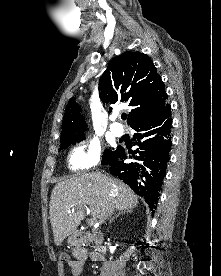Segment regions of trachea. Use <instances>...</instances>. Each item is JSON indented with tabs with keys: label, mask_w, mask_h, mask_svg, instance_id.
<instances>
[{
	"label": "trachea",
	"mask_w": 221,
	"mask_h": 276,
	"mask_svg": "<svg viewBox=\"0 0 221 276\" xmlns=\"http://www.w3.org/2000/svg\"><path fill=\"white\" fill-rule=\"evenodd\" d=\"M121 118H122L123 120H126L127 115L123 113V114L121 115Z\"/></svg>",
	"instance_id": "3493384b"
}]
</instances>
